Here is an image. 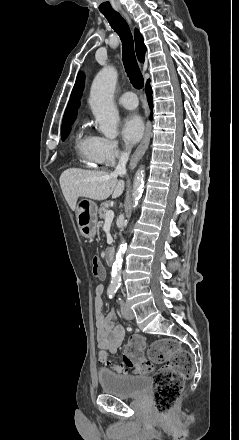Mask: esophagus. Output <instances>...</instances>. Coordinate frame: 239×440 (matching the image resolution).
Returning a JSON list of instances; mask_svg holds the SVG:
<instances>
[{
    "label": "esophagus",
    "mask_w": 239,
    "mask_h": 440,
    "mask_svg": "<svg viewBox=\"0 0 239 440\" xmlns=\"http://www.w3.org/2000/svg\"><path fill=\"white\" fill-rule=\"evenodd\" d=\"M122 14L125 16L128 22L131 23V20L128 17V15L125 12H122ZM150 137H151V121L148 120L143 138L130 159V163H129L130 170H133L137 165V163L139 162V160L143 157L144 153L148 148Z\"/></svg>",
    "instance_id": "esophagus-1"
}]
</instances>
